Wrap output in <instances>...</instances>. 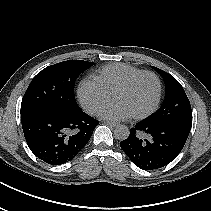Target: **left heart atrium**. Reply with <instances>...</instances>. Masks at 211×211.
I'll use <instances>...</instances> for the list:
<instances>
[{
  "mask_svg": "<svg viewBox=\"0 0 211 211\" xmlns=\"http://www.w3.org/2000/svg\"><path fill=\"white\" fill-rule=\"evenodd\" d=\"M100 116L111 121H121L131 117L129 111L120 103L112 102L100 112Z\"/></svg>",
  "mask_w": 211,
  "mask_h": 211,
  "instance_id": "39dd6f15",
  "label": "left heart atrium"
}]
</instances>
